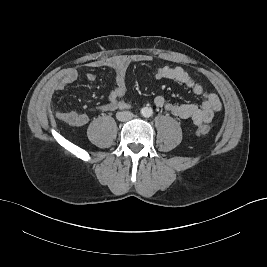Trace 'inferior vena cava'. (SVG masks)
<instances>
[{
	"mask_svg": "<svg viewBox=\"0 0 267 267\" xmlns=\"http://www.w3.org/2000/svg\"><path fill=\"white\" fill-rule=\"evenodd\" d=\"M116 117L119 121H129L134 117V114L130 111L117 112Z\"/></svg>",
	"mask_w": 267,
	"mask_h": 267,
	"instance_id": "1",
	"label": "inferior vena cava"
}]
</instances>
